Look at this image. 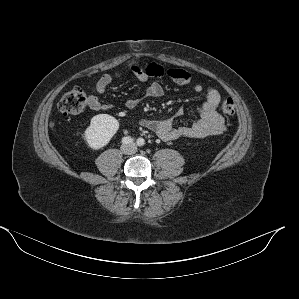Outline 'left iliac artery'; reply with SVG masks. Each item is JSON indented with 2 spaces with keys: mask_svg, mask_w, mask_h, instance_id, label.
I'll use <instances>...</instances> for the list:
<instances>
[{
  "mask_svg": "<svg viewBox=\"0 0 299 299\" xmlns=\"http://www.w3.org/2000/svg\"><path fill=\"white\" fill-rule=\"evenodd\" d=\"M136 143L138 146H143L145 144V140L143 138H139V139H137Z\"/></svg>",
  "mask_w": 299,
  "mask_h": 299,
  "instance_id": "1",
  "label": "left iliac artery"
}]
</instances>
